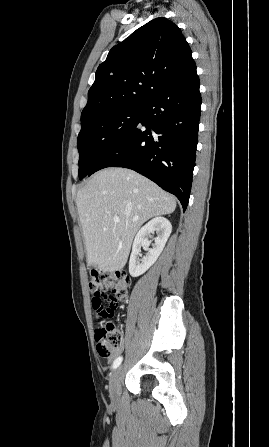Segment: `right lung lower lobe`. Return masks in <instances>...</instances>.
Here are the masks:
<instances>
[{"mask_svg":"<svg viewBox=\"0 0 269 447\" xmlns=\"http://www.w3.org/2000/svg\"><path fill=\"white\" fill-rule=\"evenodd\" d=\"M139 124L88 175L106 167L132 169L174 194L185 210L190 196L201 113L195 62L143 102Z\"/></svg>","mask_w":269,"mask_h":447,"instance_id":"1","label":"right lung lower lobe"}]
</instances>
